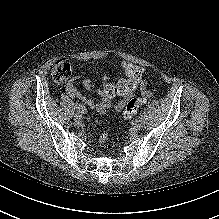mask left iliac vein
I'll return each mask as SVG.
<instances>
[{
	"label": "left iliac vein",
	"instance_id": "4c4485c4",
	"mask_svg": "<svg viewBox=\"0 0 219 219\" xmlns=\"http://www.w3.org/2000/svg\"><path fill=\"white\" fill-rule=\"evenodd\" d=\"M143 125H144V119L143 118L142 119L139 118V119L135 120V122H134V126L138 129L142 128Z\"/></svg>",
	"mask_w": 219,
	"mask_h": 219
}]
</instances>
